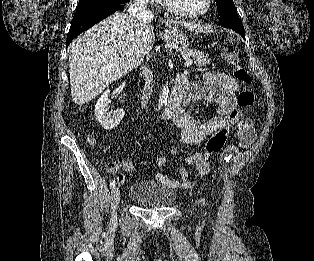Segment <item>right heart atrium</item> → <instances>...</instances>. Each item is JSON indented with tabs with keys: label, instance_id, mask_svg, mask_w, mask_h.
I'll list each match as a JSON object with an SVG mask.
<instances>
[{
	"label": "right heart atrium",
	"instance_id": "right-heart-atrium-1",
	"mask_svg": "<svg viewBox=\"0 0 314 261\" xmlns=\"http://www.w3.org/2000/svg\"><path fill=\"white\" fill-rule=\"evenodd\" d=\"M145 4L157 5L161 0H138Z\"/></svg>",
	"mask_w": 314,
	"mask_h": 261
}]
</instances>
